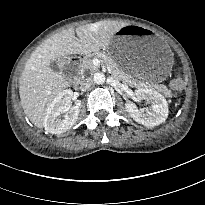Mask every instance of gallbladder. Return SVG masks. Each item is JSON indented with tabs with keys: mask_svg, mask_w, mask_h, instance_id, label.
<instances>
[{
	"mask_svg": "<svg viewBox=\"0 0 205 205\" xmlns=\"http://www.w3.org/2000/svg\"><path fill=\"white\" fill-rule=\"evenodd\" d=\"M66 62H67V58L65 57L57 58L56 60L50 63V67L55 72L62 71L65 74V76L70 77L72 76V71L70 67L67 66Z\"/></svg>",
	"mask_w": 205,
	"mask_h": 205,
	"instance_id": "obj_1",
	"label": "gallbladder"
}]
</instances>
